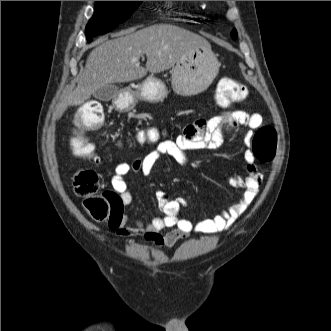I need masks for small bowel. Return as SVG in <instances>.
Wrapping results in <instances>:
<instances>
[{
  "mask_svg": "<svg viewBox=\"0 0 331 331\" xmlns=\"http://www.w3.org/2000/svg\"><path fill=\"white\" fill-rule=\"evenodd\" d=\"M262 122L263 118L260 114H249L241 110L221 112L209 119H196L183 127L182 133L176 140L160 141L144 157L137 158L131 163L117 164L111 178L112 188L119 196L122 205L127 206L133 200L125 178L129 173L141 171L144 175H149L154 164L163 156H169L179 164L187 165V150L218 149L226 134L240 126L248 128L244 141L246 144H250L252 131L260 127ZM244 159L247 175L229 177V184L241 189L242 192L232 205L216 216L193 223L180 216L181 209L187 206L185 199H170L165 192L160 191L157 192L156 197L164 216L154 217L150 221L144 222L124 214L118 221L117 234L124 238L143 237L158 247H173L191 233L214 234L229 229L254 201L262 181V175L254 164V154L251 150L245 152ZM166 228L171 230L165 235H161L160 231Z\"/></svg>",
  "mask_w": 331,
  "mask_h": 331,
  "instance_id": "c3829d8e",
  "label": "small bowel"
}]
</instances>
